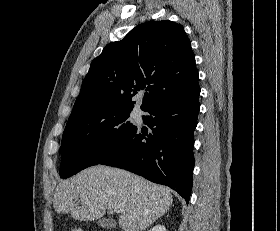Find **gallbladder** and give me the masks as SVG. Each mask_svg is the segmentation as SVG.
I'll return each mask as SVG.
<instances>
[{
  "mask_svg": "<svg viewBox=\"0 0 280 231\" xmlns=\"http://www.w3.org/2000/svg\"><path fill=\"white\" fill-rule=\"evenodd\" d=\"M97 223L98 225H101V227H107V229H113V227H116V221H114V219H109V217H102Z\"/></svg>",
  "mask_w": 280,
  "mask_h": 231,
  "instance_id": "1",
  "label": "gallbladder"
}]
</instances>
